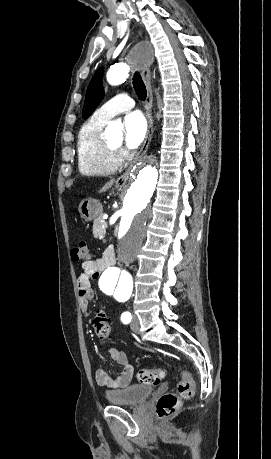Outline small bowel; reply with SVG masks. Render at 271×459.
<instances>
[{"instance_id": "1", "label": "small bowel", "mask_w": 271, "mask_h": 459, "mask_svg": "<svg viewBox=\"0 0 271 459\" xmlns=\"http://www.w3.org/2000/svg\"><path fill=\"white\" fill-rule=\"evenodd\" d=\"M111 264V258L108 253H104L101 258L88 260L83 262V272L78 278V294L81 307L86 315H88L89 302L93 296L91 289V281L97 279ZM109 358L120 367V372L117 376L112 377L106 369L99 367L95 372L96 382L100 386L118 389L128 386L132 379L133 366L129 363L126 354L117 348H109L107 351Z\"/></svg>"}]
</instances>
